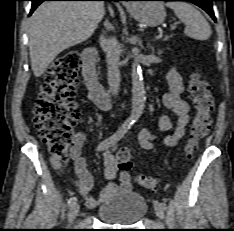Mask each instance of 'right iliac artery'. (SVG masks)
I'll use <instances>...</instances> for the list:
<instances>
[{
  "mask_svg": "<svg viewBox=\"0 0 234 231\" xmlns=\"http://www.w3.org/2000/svg\"><path fill=\"white\" fill-rule=\"evenodd\" d=\"M133 124V121L131 120H126L121 127L116 131V133H114L109 140H104L102 141L98 147L97 150L98 151H102L104 150L110 143H116L118 142L128 131V129L131 127V125ZM77 201L76 197H71L68 200V206H72L73 204H75Z\"/></svg>",
  "mask_w": 234,
  "mask_h": 231,
  "instance_id": "82829eb1",
  "label": "right iliac artery"
}]
</instances>
